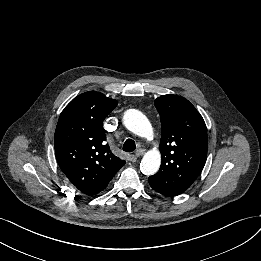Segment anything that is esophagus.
Segmentation results:
<instances>
[{
    "label": "esophagus",
    "instance_id": "esophagus-1",
    "mask_svg": "<svg viewBox=\"0 0 261 261\" xmlns=\"http://www.w3.org/2000/svg\"><path fill=\"white\" fill-rule=\"evenodd\" d=\"M144 153H145V150L140 148V149H138V150L135 152V155H136V157H140V156H142Z\"/></svg>",
    "mask_w": 261,
    "mask_h": 261
}]
</instances>
